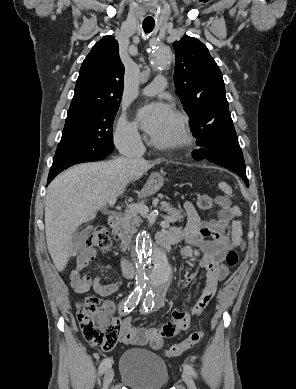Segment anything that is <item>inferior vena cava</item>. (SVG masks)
<instances>
[{"label": "inferior vena cava", "mask_w": 296, "mask_h": 389, "mask_svg": "<svg viewBox=\"0 0 296 389\" xmlns=\"http://www.w3.org/2000/svg\"><path fill=\"white\" fill-rule=\"evenodd\" d=\"M144 151L145 148L139 135H132L125 143L123 155L129 160L140 159Z\"/></svg>", "instance_id": "obj_1"}]
</instances>
